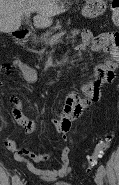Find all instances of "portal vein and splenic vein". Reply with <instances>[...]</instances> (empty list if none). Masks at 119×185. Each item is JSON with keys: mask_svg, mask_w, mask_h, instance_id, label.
<instances>
[{"mask_svg": "<svg viewBox=\"0 0 119 185\" xmlns=\"http://www.w3.org/2000/svg\"><path fill=\"white\" fill-rule=\"evenodd\" d=\"M25 16L26 17H29L30 16V13H26ZM65 33H66V31H61V32L57 33L53 37L49 38L46 41V44H49V45L56 44L65 35Z\"/></svg>", "mask_w": 119, "mask_h": 185, "instance_id": "portal-vein-and-splenic-vein-1", "label": "portal vein and splenic vein"}]
</instances>
